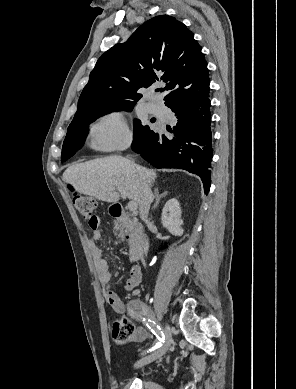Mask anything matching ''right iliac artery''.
I'll list each match as a JSON object with an SVG mask.
<instances>
[{
    "label": "right iliac artery",
    "instance_id": "82829eb1",
    "mask_svg": "<svg viewBox=\"0 0 296 389\" xmlns=\"http://www.w3.org/2000/svg\"><path fill=\"white\" fill-rule=\"evenodd\" d=\"M147 311H148V309L146 308L145 305L140 304V303H134L132 308H131V315L135 318H142V321L145 323V325L158 338L159 342H157V344L152 349H150V351H151V350H154L162 345V342H164V340H165V336H164V333L162 332L160 326L157 325L155 323V321H153L151 319H146L145 317H143V315L146 314Z\"/></svg>",
    "mask_w": 296,
    "mask_h": 389
}]
</instances>
